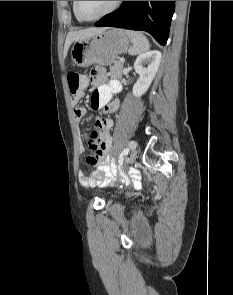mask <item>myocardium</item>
Segmentation results:
<instances>
[{"mask_svg":"<svg viewBox=\"0 0 233 295\" xmlns=\"http://www.w3.org/2000/svg\"><path fill=\"white\" fill-rule=\"evenodd\" d=\"M122 2L123 1H114L112 6L110 8H108L106 11H104L103 13H101L97 16H94V17H84L79 11V1H74V12L81 21H87V22L95 21L97 19H100L102 17H105V16L113 13L115 10L118 9V7L121 5Z\"/></svg>","mask_w":233,"mask_h":295,"instance_id":"f54148a6","label":"myocardium"}]
</instances>
